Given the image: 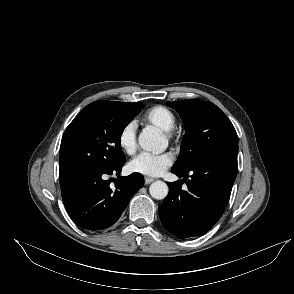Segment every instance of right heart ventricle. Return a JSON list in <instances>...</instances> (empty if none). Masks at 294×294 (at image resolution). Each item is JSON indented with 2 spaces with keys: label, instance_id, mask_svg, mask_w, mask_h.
<instances>
[{
  "label": "right heart ventricle",
  "instance_id": "e07e8e85",
  "mask_svg": "<svg viewBox=\"0 0 294 294\" xmlns=\"http://www.w3.org/2000/svg\"><path fill=\"white\" fill-rule=\"evenodd\" d=\"M142 122L146 126L154 127L163 132L175 128L177 117L171 109L163 105H156L143 114Z\"/></svg>",
  "mask_w": 294,
  "mask_h": 294
}]
</instances>
